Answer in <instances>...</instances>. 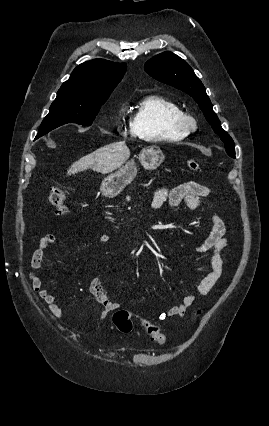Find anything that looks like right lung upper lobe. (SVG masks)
I'll return each instance as SVG.
<instances>
[{
	"mask_svg": "<svg viewBox=\"0 0 269 426\" xmlns=\"http://www.w3.org/2000/svg\"><path fill=\"white\" fill-rule=\"evenodd\" d=\"M126 64L95 59L77 66L70 78L58 90L61 94L83 98L109 96L126 72Z\"/></svg>",
	"mask_w": 269,
	"mask_h": 426,
	"instance_id": "cb5924a9",
	"label": "right lung upper lobe"
}]
</instances>
